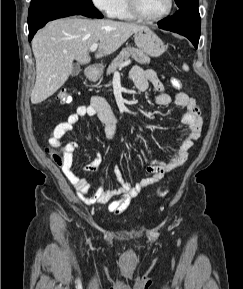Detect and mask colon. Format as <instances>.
Instances as JSON below:
<instances>
[{
	"instance_id": "obj_1",
	"label": "colon",
	"mask_w": 243,
	"mask_h": 289,
	"mask_svg": "<svg viewBox=\"0 0 243 289\" xmlns=\"http://www.w3.org/2000/svg\"><path fill=\"white\" fill-rule=\"evenodd\" d=\"M171 84L174 88L180 89L182 87V82L178 78H171ZM58 99L60 100L61 103L63 104H68L71 102L72 98L68 91L66 89H61L58 93ZM52 157L54 161L58 164L61 165L63 162L62 156L58 154L57 152H52ZM167 189H160L158 192L159 196H164L167 193Z\"/></svg>"
}]
</instances>
